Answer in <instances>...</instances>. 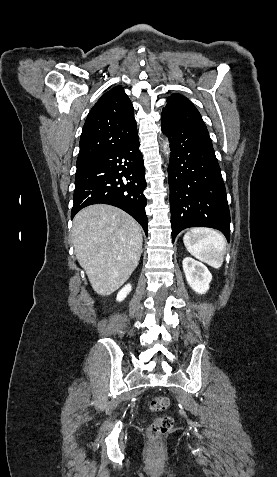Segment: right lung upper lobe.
<instances>
[{
  "label": "right lung upper lobe",
  "mask_w": 277,
  "mask_h": 477,
  "mask_svg": "<svg viewBox=\"0 0 277 477\" xmlns=\"http://www.w3.org/2000/svg\"><path fill=\"white\" fill-rule=\"evenodd\" d=\"M136 133L133 105L121 86L113 87L101 96L87 116L76 165L101 156Z\"/></svg>",
  "instance_id": "1"
}]
</instances>
